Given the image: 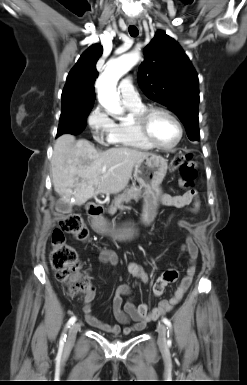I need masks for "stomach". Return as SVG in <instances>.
<instances>
[{"label": "stomach", "instance_id": "0dacf381", "mask_svg": "<svg viewBox=\"0 0 247 385\" xmlns=\"http://www.w3.org/2000/svg\"><path fill=\"white\" fill-rule=\"evenodd\" d=\"M167 169V160L156 154H148L134 165V179L144 188L142 218L145 224H150L156 216L161 194L160 185L167 173ZM110 232L119 241L130 240L136 233L133 227H124Z\"/></svg>", "mask_w": 247, "mask_h": 385}]
</instances>
